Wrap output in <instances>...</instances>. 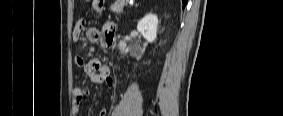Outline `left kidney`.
<instances>
[{
    "mask_svg": "<svg viewBox=\"0 0 283 116\" xmlns=\"http://www.w3.org/2000/svg\"><path fill=\"white\" fill-rule=\"evenodd\" d=\"M158 17L155 14L149 13L143 17L137 24V30L143 35L147 42L152 43L157 36ZM143 50L140 49L136 57L143 55Z\"/></svg>",
    "mask_w": 283,
    "mask_h": 116,
    "instance_id": "5707ae66",
    "label": "left kidney"
}]
</instances>
